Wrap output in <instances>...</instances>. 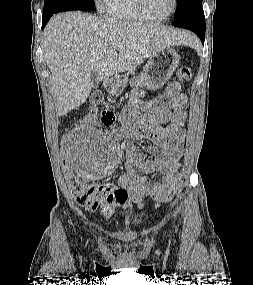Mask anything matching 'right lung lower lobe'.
Returning a JSON list of instances; mask_svg holds the SVG:
<instances>
[{"label": "right lung lower lobe", "mask_w": 253, "mask_h": 285, "mask_svg": "<svg viewBox=\"0 0 253 285\" xmlns=\"http://www.w3.org/2000/svg\"><path fill=\"white\" fill-rule=\"evenodd\" d=\"M54 13L43 14L42 16V29L46 26L47 22Z\"/></svg>", "instance_id": "right-lung-lower-lobe-1"}]
</instances>
